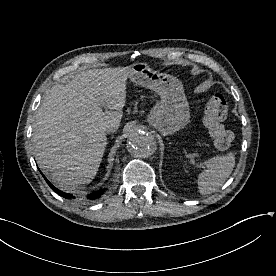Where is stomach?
<instances>
[{"mask_svg":"<svg viewBox=\"0 0 276 276\" xmlns=\"http://www.w3.org/2000/svg\"><path fill=\"white\" fill-rule=\"evenodd\" d=\"M132 82L155 91L161 98L148 116V122L163 134L183 128L190 118V109L182 82L176 77L152 70L146 63L131 65Z\"/></svg>","mask_w":276,"mask_h":276,"instance_id":"0dacf381","label":"stomach"}]
</instances>
